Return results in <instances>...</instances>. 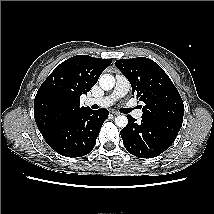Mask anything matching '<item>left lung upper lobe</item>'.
<instances>
[{
	"label": "left lung upper lobe",
	"mask_w": 214,
	"mask_h": 214,
	"mask_svg": "<svg viewBox=\"0 0 214 214\" xmlns=\"http://www.w3.org/2000/svg\"><path fill=\"white\" fill-rule=\"evenodd\" d=\"M116 67L127 77L132 92L145 103L142 118L182 126L184 104L177 88L165 71L145 57L121 59Z\"/></svg>",
	"instance_id": "obj_1"
}]
</instances>
